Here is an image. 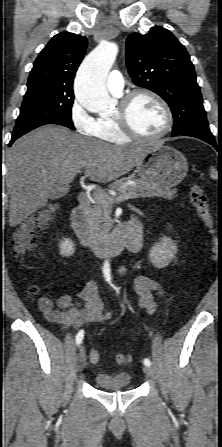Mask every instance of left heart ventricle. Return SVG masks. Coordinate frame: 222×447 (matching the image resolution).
<instances>
[{
  "label": "left heart ventricle",
  "mask_w": 222,
  "mask_h": 447,
  "mask_svg": "<svg viewBox=\"0 0 222 447\" xmlns=\"http://www.w3.org/2000/svg\"><path fill=\"white\" fill-rule=\"evenodd\" d=\"M132 127L140 134H158L165 125V115L160 105L146 95L137 96L129 109Z\"/></svg>",
  "instance_id": "b2bd125f"
}]
</instances>
